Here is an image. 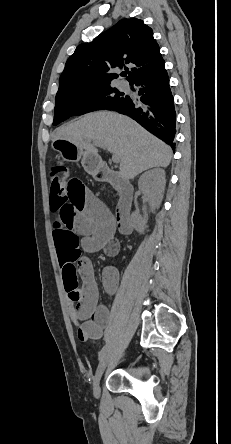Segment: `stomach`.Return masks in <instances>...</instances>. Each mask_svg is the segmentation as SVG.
<instances>
[{"mask_svg": "<svg viewBox=\"0 0 231 444\" xmlns=\"http://www.w3.org/2000/svg\"><path fill=\"white\" fill-rule=\"evenodd\" d=\"M52 147L59 152L64 161L78 162L81 159L84 169L89 174H97L103 165L99 156L85 153L75 144L65 139L54 140Z\"/></svg>", "mask_w": 231, "mask_h": 444, "instance_id": "0dacf381", "label": "stomach"}]
</instances>
